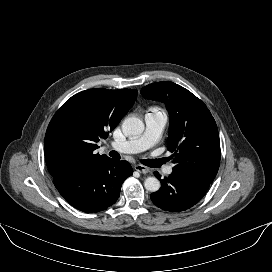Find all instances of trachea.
<instances>
[{"label": "trachea", "mask_w": 272, "mask_h": 272, "mask_svg": "<svg viewBox=\"0 0 272 272\" xmlns=\"http://www.w3.org/2000/svg\"><path fill=\"white\" fill-rule=\"evenodd\" d=\"M109 155L115 159H120V154L116 151H110ZM145 165H148V162L145 161Z\"/></svg>", "instance_id": "trachea-1"}]
</instances>
